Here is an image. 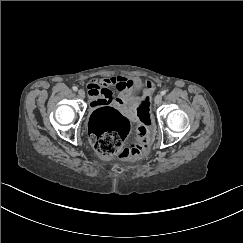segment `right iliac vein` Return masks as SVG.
I'll use <instances>...</instances> for the list:
<instances>
[{"label": "right iliac vein", "instance_id": "1", "mask_svg": "<svg viewBox=\"0 0 243 243\" xmlns=\"http://www.w3.org/2000/svg\"><path fill=\"white\" fill-rule=\"evenodd\" d=\"M78 94H79V96H80L81 98H84V96H85V92H84L82 89H80V90L78 91Z\"/></svg>", "mask_w": 243, "mask_h": 243}]
</instances>
